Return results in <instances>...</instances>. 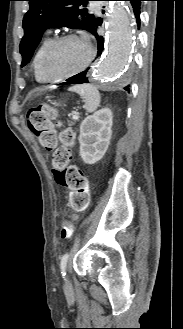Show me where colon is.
<instances>
[{"label":"colon","mask_w":183,"mask_h":329,"mask_svg":"<svg viewBox=\"0 0 183 329\" xmlns=\"http://www.w3.org/2000/svg\"><path fill=\"white\" fill-rule=\"evenodd\" d=\"M57 116L56 109L48 104L30 109L27 114V124L30 131L38 138L41 145L47 149H55L52 161V173L58 186L69 190V206L66 211L70 217H79L88 205L89 185L82 170L71 165L72 148L75 142V132L66 128L57 131L54 120ZM59 143V146L57 147ZM60 237H71L72 228L65 224L60 228Z\"/></svg>","instance_id":"5ec220e1"}]
</instances>
